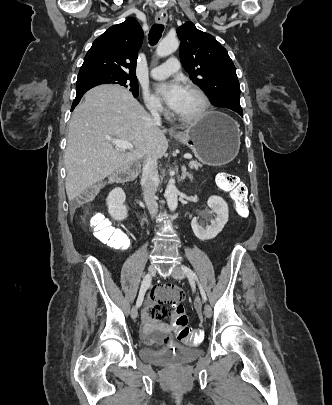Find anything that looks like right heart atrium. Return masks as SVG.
I'll return each instance as SVG.
<instances>
[{
	"instance_id": "right-heart-atrium-1",
	"label": "right heart atrium",
	"mask_w": 332,
	"mask_h": 405,
	"mask_svg": "<svg viewBox=\"0 0 332 405\" xmlns=\"http://www.w3.org/2000/svg\"><path fill=\"white\" fill-rule=\"evenodd\" d=\"M143 101L146 108L151 112H163L164 108L161 102L148 90L143 91Z\"/></svg>"
}]
</instances>
